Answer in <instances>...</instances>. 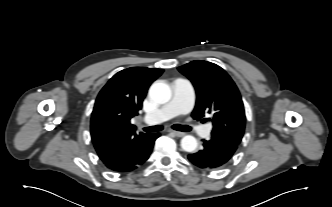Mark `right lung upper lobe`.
I'll use <instances>...</instances> for the list:
<instances>
[{"label":"right lung upper lobe","mask_w":332,"mask_h":207,"mask_svg":"<svg viewBox=\"0 0 332 207\" xmlns=\"http://www.w3.org/2000/svg\"><path fill=\"white\" fill-rule=\"evenodd\" d=\"M163 69L132 67L115 74L102 88L91 117V136L103 163L126 159L149 133L136 134L130 120L142 108L151 83Z\"/></svg>","instance_id":"right-lung-upper-lobe-1"}]
</instances>
